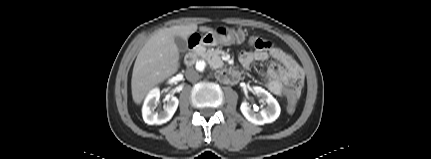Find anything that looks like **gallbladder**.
Here are the masks:
<instances>
[{
  "label": "gallbladder",
  "instance_id": "gallbladder-1",
  "mask_svg": "<svg viewBox=\"0 0 431 159\" xmlns=\"http://www.w3.org/2000/svg\"><path fill=\"white\" fill-rule=\"evenodd\" d=\"M174 41L180 52L184 53L188 50V43L187 40H185L184 38L180 36H175Z\"/></svg>",
  "mask_w": 431,
  "mask_h": 159
}]
</instances>
